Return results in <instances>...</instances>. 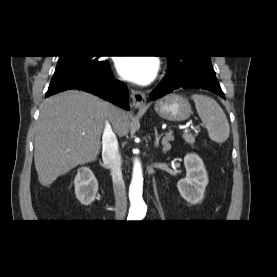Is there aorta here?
<instances>
[{
	"label": "aorta",
	"mask_w": 277,
	"mask_h": 277,
	"mask_svg": "<svg viewBox=\"0 0 277 277\" xmlns=\"http://www.w3.org/2000/svg\"><path fill=\"white\" fill-rule=\"evenodd\" d=\"M143 174L139 160H135L132 174V181L129 188V219L141 220L146 215V204L142 199Z\"/></svg>",
	"instance_id": "762f6f07"
}]
</instances>
